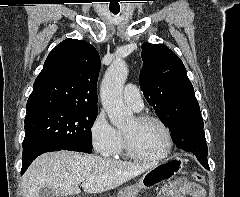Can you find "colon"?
<instances>
[{
  "mask_svg": "<svg viewBox=\"0 0 240 197\" xmlns=\"http://www.w3.org/2000/svg\"><path fill=\"white\" fill-rule=\"evenodd\" d=\"M192 176H193V179L198 183H203L205 180L204 176L198 172H194ZM163 194L164 192L162 193V197H163Z\"/></svg>",
  "mask_w": 240,
  "mask_h": 197,
  "instance_id": "1",
  "label": "colon"
}]
</instances>
